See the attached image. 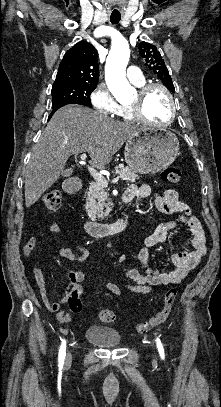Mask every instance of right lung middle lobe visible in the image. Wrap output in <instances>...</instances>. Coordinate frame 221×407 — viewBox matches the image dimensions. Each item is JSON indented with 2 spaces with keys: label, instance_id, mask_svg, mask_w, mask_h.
<instances>
[{
  "label": "right lung middle lobe",
  "instance_id": "obj_1",
  "mask_svg": "<svg viewBox=\"0 0 221 407\" xmlns=\"http://www.w3.org/2000/svg\"><path fill=\"white\" fill-rule=\"evenodd\" d=\"M96 88V84L75 83L52 88V107L67 104H80L90 106V94Z\"/></svg>",
  "mask_w": 221,
  "mask_h": 407
}]
</instances>
